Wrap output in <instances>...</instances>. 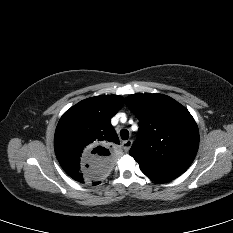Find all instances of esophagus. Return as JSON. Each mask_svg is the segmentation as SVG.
<instances>
[{"mask_svg": "<svg viewBox=\"0 0 233 233\" xmlns=\"http://www.w3.org/2000/svg\"><path fill=\"white\" fill-rule=\"evenodd\" d=\"M131 146H132V140H126V141L122 142V147L126 152L129 151Z\"/></svg>", "mask_w": 233, "mask_h": 233, "instance_id": "obj_1", "label": "esophagus"}]
</instances>
